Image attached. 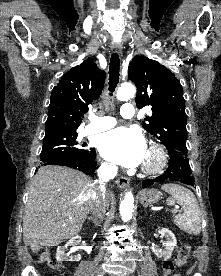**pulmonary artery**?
Wrapping results in <instances>:
<instances>
[{
  "instance_id": "e3ab8cb5",
  "label": "pulmonary artery",
  "mask_w": 221,
  "mask_h": 276,
  "mask_svg": "<svg viewBox=\"0 0 221 276\" xmlns=\"http://www.w3.org/2000/svg\"><path fill=\"white\" fill-rule=\"evenodd\" d=\"M121 116L130 119L135 115L134 106L130 103H125L122 105L120 110ZM116 121L113 117H97L93 116L91 118V123L85 128V134H94L98 132H102L108 130L115 126Z\"/></svg>"
}]
</instances>
